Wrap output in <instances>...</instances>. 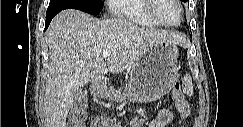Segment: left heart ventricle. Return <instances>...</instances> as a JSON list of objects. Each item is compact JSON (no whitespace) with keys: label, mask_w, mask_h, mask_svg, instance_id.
Returning <instances> with one entry per match:
<instances>
[{"label":"left heart ventricle","mask_w":243,"mask_h":127,"mask_svg":"<svg viewBox=\"0 0 243 127\" xmlns=\"http://www.w3.org/2000/svg\"><path fill=\"white\" fill-rule=\"evenodd\" d=\"M157 12L160 18L168 24H174L180 18V10L174 0H160Z\"/></svg>","instance_id":"obj_1"}]
</instances>
